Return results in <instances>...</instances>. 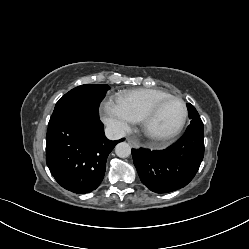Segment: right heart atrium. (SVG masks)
Wrapping results in <instances>:
<instances>
[{"mask_svg":"<svg viewBox=\"0 0 249 249\" xmlns=\"http://www.w3.org/2000/svg\"><path fill=\"white\" fill-rule=\"evenodd\" d=\"M100 110L104 123L117 135L129 132L137 121V118L117 99L104 100Z\"/></svg>","mask_w":249,"mask_h":249,"instance_id":"1","label":"right heart atrium"}]
</instances>
